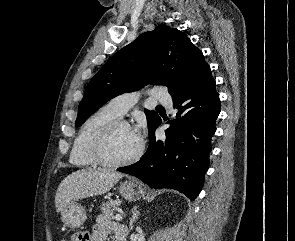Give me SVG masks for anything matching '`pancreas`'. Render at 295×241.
Returning a JSON list of instances; mask_svg holds the SVG:
<instances>
[{
	"mask_svg": "<svg viewBox=\"0 0 295 241\" xmlns=\"http://www.w3.org/2000/svg\"><path fill=\"white\" fill-rule=\"evenodd\" d=\"M100 210L109 219H114V211H119L118 202L116 200H110L100 205Z\"/></svg>",
	"mask_w": 295,
	"mask_h": 241,
	"instance_id": "1",
	"label": "pancreas"
}]
</instances>
